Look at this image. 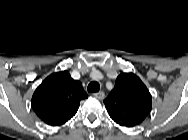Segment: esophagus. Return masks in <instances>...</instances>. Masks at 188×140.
<instances>
[{"label": "esophagus", "mask_w": 188, "mask_h": 140, "mask_svg": "<svg viewBox=\"0 0 188 140\" xmlns=\"http://www.w3.org/2000/svg\"><path fill=\"white\" fill-rule=\"evenodd\" d=\"M93 96H94L95 98L99 99V100H102V99H104L105 94H104L103 91H100V92L94 93Z\"/></svg>", "instance_id": "1"}]
</instances>
